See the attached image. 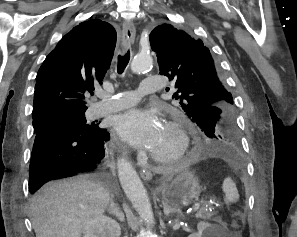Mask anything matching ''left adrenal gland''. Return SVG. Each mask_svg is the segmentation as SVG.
I'll return each mask as SVG.
<instances>
[{
    "instance_id": "left-adrenal-gland-1",
    "label": "left adrenal gland",
    "mask_w": 297,
    "mask_h": 237,
    "mask_svg": "<svg viewBox=\"0 0 297 237\" xmlns=\"http://www.w3.org/2000/svg\"><path fill=\"white\" fill-rule=\"evenodd\" d=\"M163 212L165 216H169L171 213L177 212L179 215H182V212L180 209L177 208H171L167 206L166 204L163 205Z\"/></svg>"
}]
</instances>
